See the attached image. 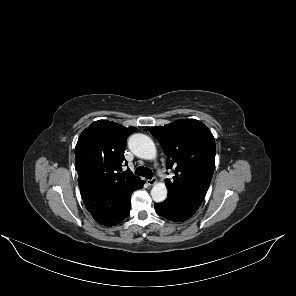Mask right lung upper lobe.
<instances>
[{
    "mask_svg": "<svg viewBox=\"0 0 296 296\" xmlns=\"http://www.w3.org/2000/svg\"><path fill=\"white\" fill-rule=\"evenodd\" d=\"M135 130L107 120L95 121L86 128L75 147L78 181L87 179L100 189L128 187L140 181L130 170L118 172L125 160L126 139Z\"/></svg>",
    "mask_w": 296,
    "mask_h": 296,
    "instance_id": "cb5924a9",
    "label": "right lung upper lobe"
}]
</instances>
